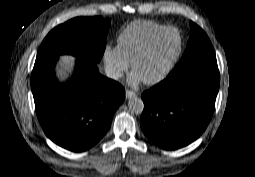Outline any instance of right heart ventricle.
<instances>
[{"mask_svg": "<svg viewBox=\"0 0 255 177\" xmlns=\"http://www.w3.org/2000/svg\"><path fill=\"white\" fill-rule=\"evenodd\" d=\"M167 27L149 20H136L129 23L118 36V45L126 59L131 63L150 36Z\"/></svg>", "mask_w": 255, "mask_h": 177, "instance_id": "obj_1", "label": "right heart ventricle"}]
</instances>
